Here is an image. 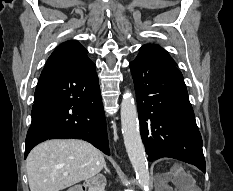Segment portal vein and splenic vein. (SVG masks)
<instances>
[{"label": "portal vein and splenic vein", "instance_id": "18ae733b", "mask_svg": "<svg viewBox=\"0 0 233 191\" xmlns=\"http://www.w3.org/2000/svg\"><path fill=\"white\" fill-rule=\"evenodd\" d=\"M64 175H68V173H64Z\"/></svg>", "mask_w": 233, "mask_h": 191}]
</instances>
